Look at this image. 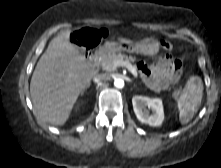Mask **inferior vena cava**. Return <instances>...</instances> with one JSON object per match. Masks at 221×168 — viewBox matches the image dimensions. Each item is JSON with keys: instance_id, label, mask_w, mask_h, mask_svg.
<instances>
[{"instance_id": "1", "label": "inferior vena cava", "mask_w": 221, "mask_h": 168, "mask_svg": "<svg viewBox=\"0 0 221 168\" xmlns=\"http://www.w3.org/2000/svg\"><path fill=\"white\" fill-rule=\"evenodd\" d=\"M107 78H108V75L106 73H100V74L95 75L93 80L95 83H99V82L107 80Z\"/></svg>"}]
</instances>
